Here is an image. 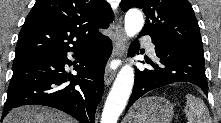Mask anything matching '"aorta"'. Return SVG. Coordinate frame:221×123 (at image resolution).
I'll use <instances>...</instances> for the list:
<instances>
[{"instance_id": "762f6f07", "label": "aorta", "mask_w": 221, "mask_h": 123, "mask_svg": "<svg viewBox=\"0 0 221 123\" xmlns=\"http://www.w3.org/2000/svg\"><path fill=\"white\" fill-rule=\"evenodd\" d=\"M144 25L142 13L137 9L129 10L125 15L124 29L128 37L141 31ZM134 84V70L130 65L121 68L112 89L106 99L101 123H117L124 110Z\"/></svg>"}]
</instances>
